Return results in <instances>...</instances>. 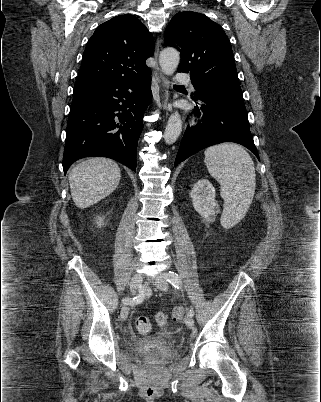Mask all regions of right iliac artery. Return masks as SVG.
<instances>
[{"label":"right iliac artery","mask_w":321,"mask_h":402,"mask_svg":"<svg viewBox=\"0 0 321 402\" xmlns=\"http://www.w3.org/2000/svg\"><path fill=\"white\" fill-rule=\"evenodd\" d=\"M142 298H141V296L139 295L138 297H136V298H133V301H131V299H129V298H124L122 301H123V303L124 304H129V303H131V302H139L140 300H141Z\"/></svg>","instance_id":"right-iliac-artery-1"}]
</instances>
